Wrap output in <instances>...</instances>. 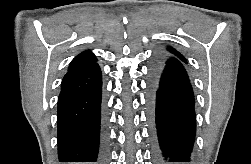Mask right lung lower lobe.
<instances>
[{
	"label": "right lung lower lobe",
	"mask_w": 251,
	"mask_h": 164,
	"mask_svg": "<svg viewBox=\"0 0 251 164\" xmlns=\"http://www.w3.org/2000/svg\"><path fill=\"white\" fill-rule=\"evenodd\" d=\"M102 76L98 64L69 70L58 99L60 162L104 163L105 116L101 111Z\"/></svg>",
	"instance_id": "1"
}]
</instances>
